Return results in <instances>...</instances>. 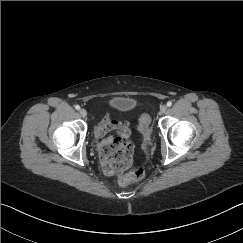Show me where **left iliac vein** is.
I'll use <instances>...</instances> for the list:
<instances>
[{"label": "left iliac vein", "mask_w": 243, "mask_h": 243, "mask_svg": "<svg viewBox=\"0 0 243 243\" xmlns=\"http://www.w3.org/2000/svg\"><path fill=\"white\" fill-rule=\"evenodd\" d=\"M167 111V106L166 105H162L161 107H160V112L161 113H165Z\"/></svg>", "instance_id": "4c4485c4"}]
</instances>
